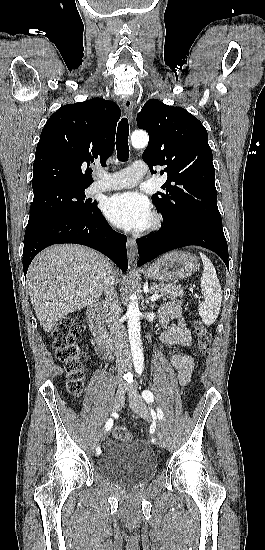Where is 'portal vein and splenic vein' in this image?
<instances>
[{
  "instance_id": "obj_1",
  "label": "portal vein and splenic vein",
  "mask_w": 265,
  "mask_h": 550,
  "mask_svg": "<svg viewBox=\"0 0 265 550\" xmlns=\"http://www.w3.org/2000/svg\"><path fill=\"white\" fill-rule=\"evenodd\" d=\"M159 298H160V295H159V294H153V295L151 296L150 300H151L152 302H154V301L158 300Z\"/></svg>"
}]
</instances>
